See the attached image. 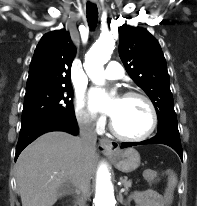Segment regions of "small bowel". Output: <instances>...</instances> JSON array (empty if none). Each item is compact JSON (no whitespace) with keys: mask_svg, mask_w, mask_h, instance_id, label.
Segmentation results:
<instances>
[{"mask_svg":"<svg viewBox=\"0 0 197 206\" xmlns=\"http://www.w3.org/2000/svg\"><path fill=\"white\" fill-rule=\"evenodd\" d=\"M136 206H166L164 198L155 191H135L130 196Z\"/></svg>","mask_w":197,"mask_h":206,"instance_id":"obj_1","label":"small bowel"}]
</instances>
